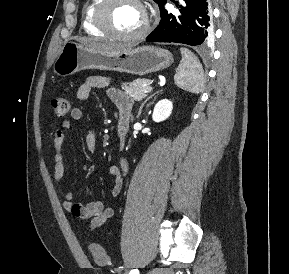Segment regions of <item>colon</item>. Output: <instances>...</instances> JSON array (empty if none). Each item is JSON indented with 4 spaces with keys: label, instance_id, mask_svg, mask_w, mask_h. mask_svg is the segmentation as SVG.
Returning a JSON list of instances; mask_svg holds the SVG:
<instances>
[{
    "label": "colon",
    "instance_id": "colon-1",
    "mask_svg": "<svg viewBox=\"0 0 289 274\" xmlns=\"http://www.w3.org/2000/svg\"><path fill=\"white\" fill-rule=\"evenodd\" d=\"M52 109L56 116L63 117L71 109L70 100L66 97L60 96L52 99L51 101ZM90 252L94 261L99 265H105L108 262V255L105 250L98 244H90Z\"/></svg>",
    "mask_w": 289,
    "mask_h": 274
}]
</instances>
